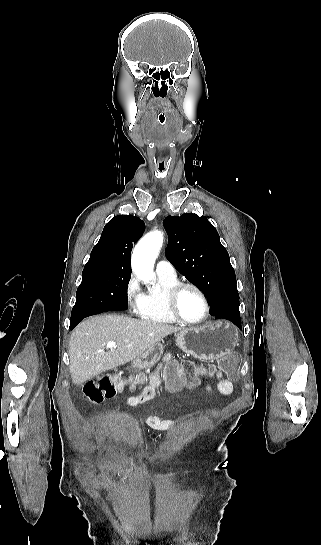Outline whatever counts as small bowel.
<instances>
[{
  "label": "small bowel",
  "mask_w": 321,
  "mask_h": 545,
  "mask_svg": "<svg viewBox=\"0 0 321 545\" xmlns=\"http://www.w3.org/2000/svg\"><path fill=\"white\" fill-rule=\"evenodd\" d=\"M217 376L219 378L217 387H218V390L220 391V393H222L224 395L230 394L232 392V390H233L232 383L229 380L223 379L221 377V373H218ZM157 383H158L157 378L156 377L153 378L152 381H151V385L146 387L140 395L129 397L127 399V404L130 405V406H137L139 404H142V403H144L146 401H149L152 398H154V396H155V386L157 385ZM206 389L209 392L212 391V387L210 385H207ZM145 421L149 426H151L152 428L157 429V430L169 429V428H172V427L175 426V424L173 422L163 421V420H161L160 418H158L157 416H155L153 414H150V415L146 416Z\"/></svg>",
  "instance_id": "c3829d8e"
}]
</instances>
